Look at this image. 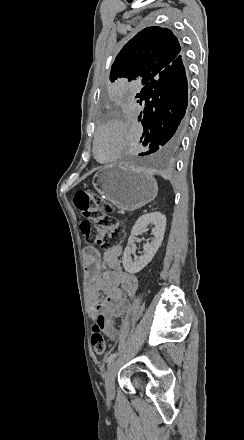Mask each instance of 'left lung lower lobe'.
<instances>
[{
	"label": "left lung lower lobe",
	"instance_id": "1",
	"mask_svg": "<svg viewBox=\"0 0 244 440\" xmlns=\"http://www.w3.org/2000/svg\"><path fill=\"white\" fill-rule=\"evenodd\" d=\"M180 61L163 70L136 94L141 105L139 119L143 125L141 142L149 151L169 153L177 149L188 128V83L181 54Z\"/></svg>",
	"mask_w": 244,
	"mask_h": 440
}]
</instances>
